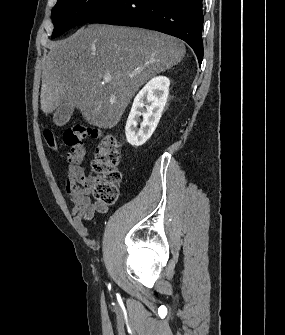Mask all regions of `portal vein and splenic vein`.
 Listing matches in <instances>:
<instances>
[{
	"instance_id": "portal-vein-and-splenic-vein-1",
	"label": "portal vein and splenic vein",
	"mask_w": 285,
	"mask_h": 335,
	"mask_svg": "<svg viewBox=\"0 0 285 335\" xmlns=\"http://www.w3.org/2000/svg\"><path fill=\"white\" fill-rule=\"evenodd\" d=\"M130 78H133V76H130ZM104 82H111L110 76H106V78H104Z\"/></svg>"
}]
</instances>
